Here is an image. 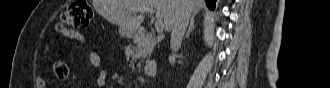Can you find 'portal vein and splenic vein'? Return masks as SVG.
Instances as JSON below:
<instances>
[{
	"mask_svg": "<svg viewBox=\"0 0 330 88\" xmlns=\"http://www.w3.org/2000/svg\"><path fill=\"white\" fill-rule=\"evenodd\" d=\"M134 12H138V11H141V12H149L151 15L155 12V10L153 9H136L134 8L133 9ZM155 30L158 34L162 33L163 32V21L162 19H157L155 21Z\"/></svg>",
	"mask_w": 330,
	"mask_h": 88,
	"instance_id": "1",
	"label": "portal vein and splenic vein"
}]
</instances>
